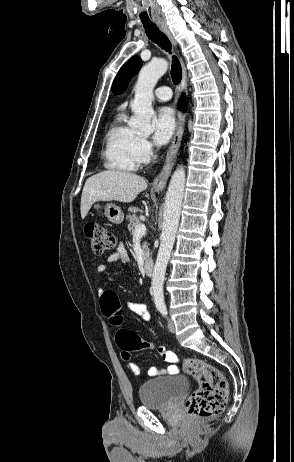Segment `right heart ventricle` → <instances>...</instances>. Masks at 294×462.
I'll return each instance as SVG.
<instances>
[{
    "label": "right heart ventricle",
    "instance_id": "obj_1",
    "mask_svg": "<svg viewBox=\"0 0 294 462\" xmlns=\"http://www.w3.org/2000/svg\"><path fill=\"white\" fill-rule=\"evenodd\" d=\"M136 136V131L125 123L124 114H118L105 133L104 167L113 171H134L139 164L134 150Z\"/></svg>",
    "mask_w": 294,
    "mask_h": 462
}]
</instances>
